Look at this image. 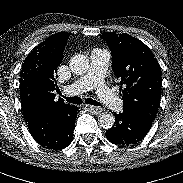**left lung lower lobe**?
Returning a JSON list of instances; mask_svg holds the SVG:
<instances>
[{"mask_svg": "<svg viewBox=\"0 0 183 183\" xmlns=\"http://www.w3.org/2000/svg\"><path fill=\"white\" fill-rule=\"evenodd\" d=\"M152 122L137 112L123 108L122 113L115 114V124L107 130L106 137L113 144H136L147 135Z\"/></svg>", "mask_w": 183, "mask_h": 183, "instance_id": "0a47b994", "label": "left lung lower lobe"}]
</instances>
